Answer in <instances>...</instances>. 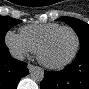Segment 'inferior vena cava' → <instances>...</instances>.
Returning a JSON list of instances; mask_svg holds the SVG:
<instances>
[{
  "instance_id": "1",
  "label": "inferior vena cava",
  "mask_w": 89,
  "mask_h": 89,
  "mask_svg": "<svg viewBox=\"0 0 89 89\" xmlns=\"http://www.w3.org/2000/svg\"><path fill=\"white\" fill-rule=\"evenodd\" d=\"M12 56L18 60H21V61L24 60V55L20 52H13Z\"/></svg>"
}]
</instances>
